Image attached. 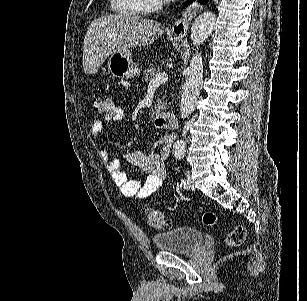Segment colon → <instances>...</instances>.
Returning <instances> with one entry per match:
<instances>
[{"label": "colon", "mask_w": 307, "mask_h": 301, "mask_svg": "<svg viewBox=\"0 0 307 301\" xmlns=\"http://www.w3.org/2000/svg\"><path fill=\"white\" fill-rule=\"evenodd\" d=\"M92 109L97 113L108 112L111 109V99L105 92L98 93L92 101ZM147 223L156 229H164L168 222L165 216L156 208L147 207L144 210ZM203 223L206 226H214L218 222V217L215 213L208 211L202 217ZM246 237V230L243 226L237 225L231 229L226 237L225 242L229 246H238L242 244Z\"/></svg>", "instance_id": "5ec220e1"}]
</instances>
